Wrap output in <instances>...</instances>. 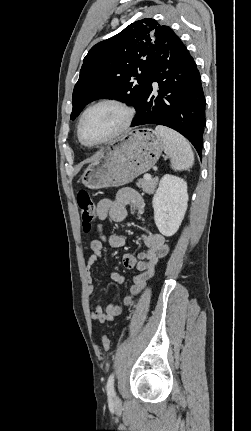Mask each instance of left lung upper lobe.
Here are the masks:
<instances>
[{"mask_svg":"<svg viewBox=\"0 0 251 431\" xmlns=\"http://www.w3.org/2000/svg\"><path fill=\"white\" fill-rule=\"evenodd\" d=\"M174 34L151 18L136 21L117 35L94 45L83 60L73 91L74 120L90 102L116 99L135 109L141 104L152 58Z\"/></svg>","mask_w":251,"mask_h":431,"instance_id":"1","label":"left lung upper lobe"}]
</instances>
